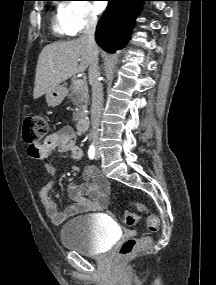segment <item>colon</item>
<instances>
[{"instance_id":"obj_1","label":"colon","mask_w":216,"mask_h":285,"mask_svg":"<svg viewBox=\"0 0 216 285\" xmlns=\"http://www.w3.org/2000/svg\"><path fill=\"white\" fill-rule=\"evenodd\" d=\"M49 129L47 119L38 114H32L25 117L22 127V138L28 146V153L36 157L40 153L41 140L47 134ZM138 211L146 214L147 228L150 232H155L158 228V219L152 214L148 208L138 202L131 201ZM138 222L137 214L133 212H126L124 214V223L128 227H133ZM151 243V238L149 236H144L140 238H129L125 240L119 248L117 255V262H122L134 253L141 251L149 246Z\"/></svg>"}]
</instances>
